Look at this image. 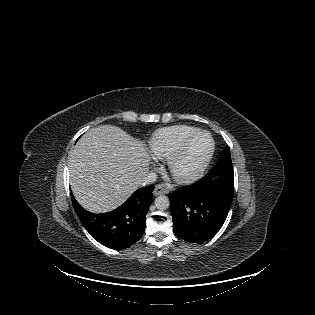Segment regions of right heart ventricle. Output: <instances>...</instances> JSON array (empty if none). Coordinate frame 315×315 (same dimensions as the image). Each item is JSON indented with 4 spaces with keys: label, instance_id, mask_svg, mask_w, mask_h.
<instances>
[{
    "label": "right heart ventricle",
    "instance_id": "obj_1",
    "mask_svg": "<svg viewBox=\"0 0 315 315\" xmlns=\"http://www.w3.org/2000/svg\"><path fill=\"white\" fill-rule=\"evenodd\" d=\"M198 129L189 125H173L157 130L149 140V150L158 159L168 158L183 140Z\"/></svg>",
    "mask_w": 315,
    "mask_h": 315
}]
</instances>
